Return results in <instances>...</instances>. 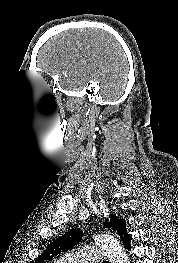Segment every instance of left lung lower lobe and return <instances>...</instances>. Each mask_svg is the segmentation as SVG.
<instances>
[{
  "label": "left lung lower lobe",
  "mask_w": 178,
  "mask_h": 263,
  "mask_svg": "<svg viewBox=\"0 0 178 263\" xmlns=\"http://www.w3.org/2000/svg\"><path fill=\"white\" fill-rule=\"evenodd\" d=\"M119 236L123 241L124 245L126 246V248L130 250L131 235L127 233L126 223L124 224L122 230L120 231Z\"/></svg>",
  "instance_id": "obj_1"
}]
</instances>
